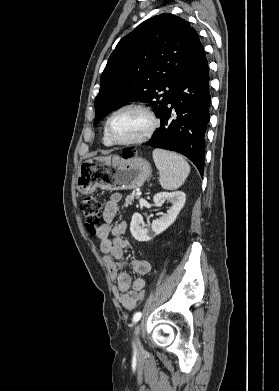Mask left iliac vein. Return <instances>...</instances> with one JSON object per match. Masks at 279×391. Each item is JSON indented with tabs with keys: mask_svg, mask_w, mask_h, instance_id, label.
I'll list each match as a JSON object with an SVG mask.
<instances>
[{
	"mask_svg": "<svg viewBox=\"0 0 279 391\" xmlns=\"http://www.w3.org/2000/svg\"><path fill=\"white\" fill-rule=\"evenodd\" d=\"M140 330H141V327H140V324H137L135 326V329H134V340H135V344L138 348L141 347V342H140Z\"/></svg>",
	"mask_w": 279,
	"mask_h": 391,
	"instance_id": "left-iliac-vein-1",
	"label": "left iliac vein"
}]
</instances>
